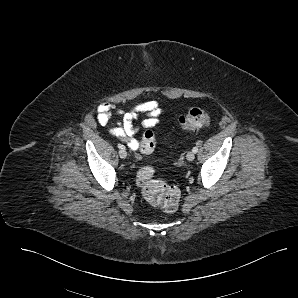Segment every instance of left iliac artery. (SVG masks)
Segmentation results:
<instances>
[{"label":"left iliac artery","instance_id":"obj_1","mask_svg":"<svg viewBox=\"0 0 298 298\" xmlns=\"http://www.w3.org/2000/svg\"><path fill=\"white\" fill-rule=\"evenodd\" d=\"M192 151H193L194 153H197V152H198V147H194V148L192 149Z\"/></svg>","mask_w":298,"mask_h":298}]
</instances>
